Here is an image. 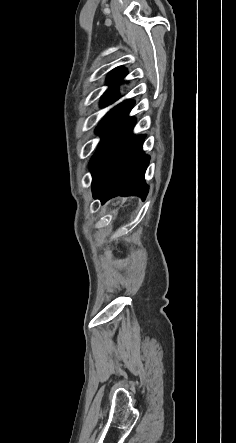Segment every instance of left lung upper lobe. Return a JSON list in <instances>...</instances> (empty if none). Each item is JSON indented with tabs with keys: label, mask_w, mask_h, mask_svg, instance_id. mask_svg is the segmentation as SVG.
Listing matches in <instances>:
<instances>
[{
	"label": "left lung upper lobe",
	"mask_w": 236,
	"mask_h": 443,
	"mask_svg": "<svg viewBox=\"0 0 236 443\" xmlns=\"http://www.w3.org/2000/svg\"><path fill=\"white\" fill-rule=\"evenodd\" d=\"M126 75L127 69L123 67H117L109 73L106 80V84L109 85V88L102 96L101 106H107L120 97L117 86Z\"/></svg>",
	"instance_id": "5c2ea615"
}]
</instances>
